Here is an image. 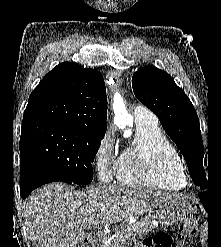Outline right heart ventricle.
I'll return each instance as SVG.
<instances>
[{"mask_svg":"<svg viewBox=\"0 0 221 247\" xmlns=\"http://www.w3.org/2000/svg\"><path fill=\"white\" fill-rule=\"evenodd\" d=\"M174 169H182L181 158L157 122H136L134 138L118 157L117 182L130 186L180 190L185 186V179L175 175Z\"/></svg>","mask_w":221,"mask_h":247,"instance_id":"e07e8e85","label":"right heart ventricle"}]
</instances>
